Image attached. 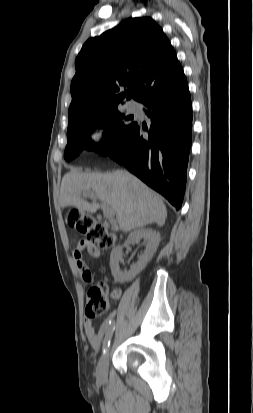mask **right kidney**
<instances>
[{"mask_svg": "<svg viewBox=\"0 0 253 413\" xmlns=\"http://www.w3.org/2000/svg\"><path fill=\"white\" fill-rule=\"evenodd\" d=\"M141 239H144L147 242L144 253L139 257L137 263L131 266V269L128 272L122 271L119 267V262L123 256V246L127 247L131 244H135ZM159 242L160 234L155 230L141 228L131 232L124 245L114 249L111 253L110 268L114 279L120 282L133 280L136 275L140 273L145 268L147 263L152 259L153 254L159 245Z\"/></svg>", "mask_w": 253, "mask_h": 413, "instance_id": "1", "label": "right kidney"}]
</instances>
